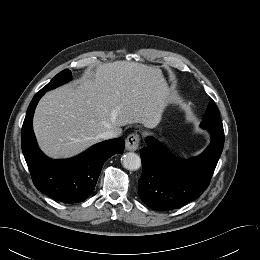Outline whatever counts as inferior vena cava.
<instances>
[{"instance_id":"inferior-vena-cava-1","label":"inferior vena cava","mask_w":260,"mask_h":260,"mask_svg":"<svg viewBox=\"0 0 260 260\" xmlns=\"http://www.w3.org/2000/svg\"><path fill=\"white\" fill-rule=\"evenodd\" d=\"M118 137V133L114 130H106L99 135L100 139L107 140Z\"/></svg>"}]
</instances>
